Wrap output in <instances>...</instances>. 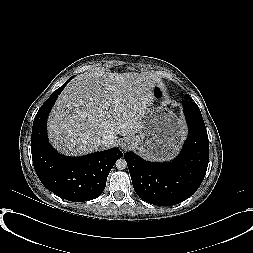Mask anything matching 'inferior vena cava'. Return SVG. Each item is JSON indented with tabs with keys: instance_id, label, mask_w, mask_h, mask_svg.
Here are the masks:
<instances>
[{
	"instance_id": "1",
	"label": "inferior vena cava",
	"mask_w": 253,
	"mask_h": 253,
	"mask_svg": "<svg viewBox=\"0 0 253 253\" xmlns=\"http://www.w3.org/2000/svg\"><path fill=\"white\" fill-rule=\"evenodd\" d=\"M101 144L104 146H109L111 144V137L103 136L101 139Z\"/></svg>"
}]
</instances>
